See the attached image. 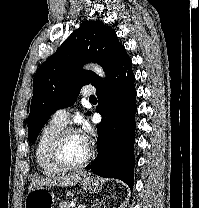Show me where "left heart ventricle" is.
<instances>
[{"label":"left heart ventricle","instance_id":"left-heart-ventricle-1","mask_svg":"<svg viewBox=\"0 0 199 208\" xmlns=\"http://www.w3.org/2000/svg\"><path fill=\"white\" fill-rule=\"evenodd\" d=\"M88 144L81 138L79 133L67 137L62 146V156L69 164H76L82 161L88 154Z\"/></svg>","mask_w":199,"mask_h":208}]
</instances>
